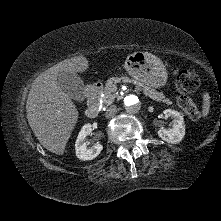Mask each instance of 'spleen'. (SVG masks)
I'll return each mask as SVG.
<instances>
[{"mask_svg": "<svg viewBox=\"0 0 221 221\" xmlns=\"http://www.w3.org/2000/svg\"><path fill=\"white\" fill-rule=\"evenodd\" d=\"M203 115L206 116L208 114L209 109V97L206 95L204 98V107H203Z\"/></svg>", "mask_w": 221, "mask_h": 221, "instance_id": "1", "label": "spleen"}]
</instances>
